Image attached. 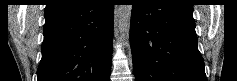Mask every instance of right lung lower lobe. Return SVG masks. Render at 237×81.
<instances>
[{"instance_id":"obj_1","label":"right lung lower lobe","mask_w":237,"mask_h":81,"mask_svg":"<svg viewBox=\"0 0 237 81\" xmlns=\"http://www.w3.org/2000/svg\"><path fill=\"white\" fill-rule=\"evenodd\" d=\"M114 4L76 0L45 12L37 81H109Z\"/></svg>"}]
</instances>
